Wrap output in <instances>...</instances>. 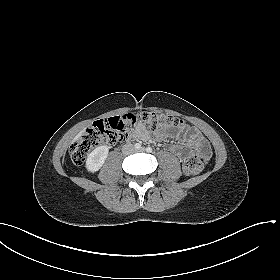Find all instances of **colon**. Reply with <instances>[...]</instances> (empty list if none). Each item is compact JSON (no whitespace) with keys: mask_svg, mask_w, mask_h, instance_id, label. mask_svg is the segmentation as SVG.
<instances>
[{"mask_svg":"<svg viewBox=\"0 0 280 280\" xmlns=\"http://www.w3.org/2000/svg\"><path fill=\"white\" fill-rule=\"evenodd\" d=\"M136 121L142 122L151 130L175 129L183 126V120L176 116L148 111L98 120L72 144L70 151L73 162L75 164L83 163L89 152L96 147L121 143L127 137L129 128ZM210 154L209 149L193 151L183 163L184 174H199Z\"/></svg>","mask_w":280,"mask_h":280,"instance_id":"obj_1","label":"colon"}]
</instances>
